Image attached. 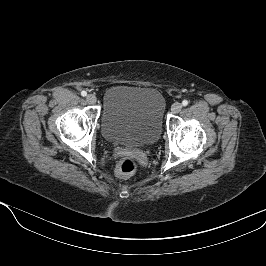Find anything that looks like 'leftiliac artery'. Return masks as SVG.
Returning a JSON list of instances; mask_svg holds the SVG:
<instances>
[{
	"label": "left iliac artery",
	"instance_id": "obj_1",
	"mask_svg": "<svg viewBox=\"0 0 266 266\" xmlns=\"http://www.w3.org/2000/svg\"><path fill=\"white\" fill-rule=\"evenodd\" d=\"M182 105H183V106H187V105H188V101H187V100H183V101H182Z\"/></svg>",
	"mask_w": 266,
	"mask_h": 266
}]
</instances>
